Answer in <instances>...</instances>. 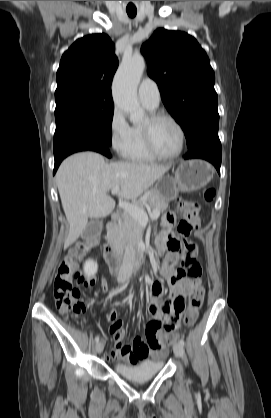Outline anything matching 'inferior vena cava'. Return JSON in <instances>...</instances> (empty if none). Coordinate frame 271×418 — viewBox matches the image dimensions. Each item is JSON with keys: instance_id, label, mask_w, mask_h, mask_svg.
Masks as SVG:
<instances>
[{"instance_id": "obj_1", "label": "inferior vena cava", "mask_w": 271, "mask_h": 418, "mask_svg": "<svg viewBox=\"0 0 271 418\" xmlns=\"http://www.w3.org/2000/svg\"><path fill=\"white\" fill-rule=\"evenodd\" d=\"M135 256L134 244L132 242L128 243L125 248V253L121 267L119 269L117 280L118 282H125L130 278L133 272L134 262L133 258Z\"/></svg>"}]
</instances>
